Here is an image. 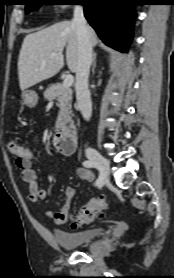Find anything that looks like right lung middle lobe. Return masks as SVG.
I'll return each instance as SVG.
<instances>
[{"label": "right lung middle lobe", "instance_id": "obj_1", "mask_svg": "<svg viewBox=\"0 0 174 278\" xmlns=\"http://www.w3.org/2000/svg\"><path fill=\"white\" fill-rule=\"evenodd\" d=\"M44 0H26L25 6H26V13L31 12L32 10H34L35 8L40 7L41 5H43Z\"/></svg>", "mask_w": 174, "mask_h": 278}]
</instances>
